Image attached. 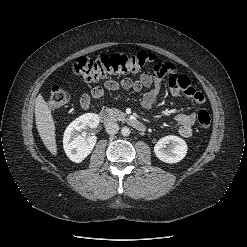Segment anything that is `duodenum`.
<instances>
[{
  "label": "duodenum",
  "instance_id": "410a0bca",
  "mask_svg": "<svg viewBox=\"0 0 247 247\" xmlns=\"http://www.w3.org/2000/svg\"><path fill=\"white\" fill-rule=\"evenodd\" d=\"M113 119H114V116H113L110 109L106 108L100 112V120L103 123H110L113 121ZM127 123L138 131H145V129H146L145 124L139 120H136V119H130L129 118V119H127Z\"/></svg>",
  "mask_w": 247,
  "mask_h": 247
}]
</instances>
